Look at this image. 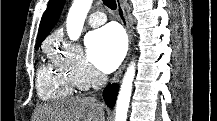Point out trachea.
Listing matches in <instances>:
<instances>
[{
    "label": "trachea",
    "mask_w": 217,
    "mask_h": 121,
    "mask_svg": "<svg viewBox=\"0 0 217 121\" xmlns=\"http://www.w3.org/2000/svg\"><path fill=\"white\" fill-rule=\"evenodd\" d=\"M105 6L110 8L111 10H115L117 5L115 0H103Z\"/></svg>",
    "instance_id": "trachea-1"
}]
</instances>
